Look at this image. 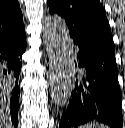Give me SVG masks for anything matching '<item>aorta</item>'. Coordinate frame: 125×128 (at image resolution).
I'll return each mask as SVG.
<instances>
[{
    "label": "aorta",
    "instance_id": "obj_1",
    "mask_svg": "<svg viewBox=\"0 0 125 128\" xmlns=\"http://www.w3.org/2000/svg\"><path fill=\"white\" fill-rule=\"evenodd\" d=\"M43 36L49 57L50 92L55 105L67 104L74 89L76 66L72 40L65 21L59 16H47Z\"/></svg>",
    "mask_w": 125,
    "mask_h": 128
}]
</instances>
